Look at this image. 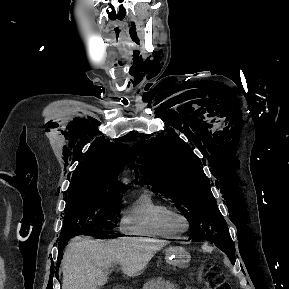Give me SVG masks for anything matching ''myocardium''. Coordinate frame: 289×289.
<instances>
[{
  "label": "myocardium",
  "mask_w": 289,
  "mask_h": 289,
  "mask_svg": "<svg viewBox=\"0 0 289 289\" xmlns=\"http://www.w3.org/2000/svg\"><path fill=\"white\" fill-rule=\"evenodd\" d=\"M174 218H180L181 220H183L185 224L183 229H176L173 226L172 221ZM162 221L168 230H170L171 232L177 235L184 234L185 232L189 230V227H190V223H189L187 216L181 210L177 208H173V207H167L163 211Z\"/></svg>",
  "instance_id": "myocardium-1"
}]
</instances>
